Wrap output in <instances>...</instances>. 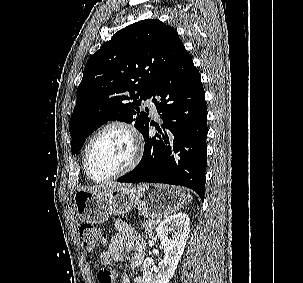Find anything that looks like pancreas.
<instances>
[{
    "label": "pancreas",
    "instance_id": "1",
    "mask_svg": "<svg viewBox=\"0 0 303 283\" xmlns=\"http://www.w3.org/2000/svg\"><path fill=\"white\" fill-rule=\"evenodd\" d=\"M141 225L144 228L145 233L151 235L155 228V221L151 219H147L146 221L142 222Z\"/></svg>",
    "mask_w": 303,
    "mask_h": 283
}]
</instances>
